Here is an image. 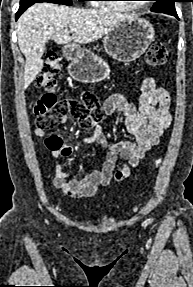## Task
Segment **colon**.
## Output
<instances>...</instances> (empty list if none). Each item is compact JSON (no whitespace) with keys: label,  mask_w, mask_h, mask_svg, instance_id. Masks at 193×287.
<instances>
[{"label":"colon","mask_w":193,"mask_h":287,"mask_svg":"<svg viewBox=\"0 0 193 287\" xmlns=\"http://www.w3.org/2000/svg\"><path fill=\"white\" fill-rule=\"evenodd\" d=\"M168 58L167 48L163 43H153L146 53V63L150 66H162ZM60 69L59 57L51 52L47 55L36 84L42 91V96L35 105L36 124L39 129L48 131L54 128L60 118L71 114L83 128H91L103 116L99 97L89 91L82 92L81 100H58L54 93L56 87L55 76ZM52 136V135H50ZM70 150V149H69Z\"/></svg>","instance_id":"colon-1"}]
</instances>
